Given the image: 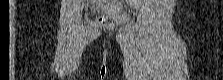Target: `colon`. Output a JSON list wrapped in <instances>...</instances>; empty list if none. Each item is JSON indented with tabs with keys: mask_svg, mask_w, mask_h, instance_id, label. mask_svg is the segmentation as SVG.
Segmentation results:
<instances>
[{
	"mask_svg": "<svg viewBox=\"0 0 223 80\" xmlns=\"http://www.w3.org/2000/svg\"><path fill=\"white\" fill-rule=\"evenodd\" d=\"M99 22L104 26H112L116 23V18L113 15H102Z\"/></svg>",
	"mask_w": 223,
	"mask_h": 80,
	"instance_id": "obj_1",
	"label": "colon"
}]
</instances>
